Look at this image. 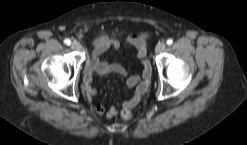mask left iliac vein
I'll return each instance as SVG.
<instances>
[{
	"mask_svg": "<svg viewBox=\"0 0 247 145\" xmlns=\"http://www.w3.org/2000/svg\"><path fill=\"white\" fill-rule=\"evenodd\" d=\"M166 48V44L164 42H159L157 45H156V48H155V52L156 53H161L164 51V49Z\"/></svg>",
	"mask_w": 247,
	"mask_h": 145,
	"instance_id": "obj_1",
	"label": "left iliac vein"
}]
</instances>
